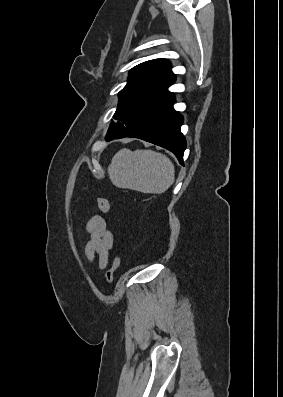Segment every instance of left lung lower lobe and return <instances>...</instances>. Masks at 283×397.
<instances>
[{
	"instance_id": "0a47b994",
	"label": "left lung lower lobe",
	"mask_w": 283,
	"mask_h": 397,
	"mask_svg": "<svg viewBox=\"0 0 283 397\" xmlns=\"http://www.w3.org/2000/svg\"><path fill=\"white\" fill-rule=\"evenodd\" d=\"M174 101V96H170L141 115L122 133L106 140L140 138L170 150L183 165V153L186 149V139L180 131L183 116L174 110Z\"/></svg>"
}]
</instances>
